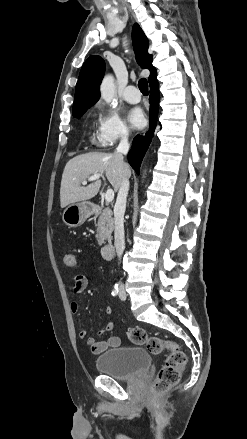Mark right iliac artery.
<instances>
[{"instance_id":"obj_1","label":"right iliac artery","mask_w":247,"mask_h":439,"mask_svg":"<svg viewBox=\"0 0 247 439\" xmlns=\"http://www.w3.org/2000/svg\"><path fill=\"white\" fill-rule=\"evenodd\" d=\"M118 293H119V286L116 284L112 291V295L116 296Z\"/></svg>"}]
</instances>
